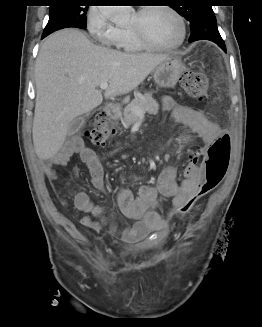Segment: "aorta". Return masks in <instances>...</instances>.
Listing matches in <instances>:
<instances>
[{
    "mask_svg": "<svg viewBox=\"0 0 262 327\" xmlns=\"http://www.w3.org/2000/svg\"><path fill=\"white\" fill-rule=\"evenodd\" d=\"M120 16H125V14L124 13H122ZM117 17V16H116Z\"/></svg>",
    "mask_w": 262,
    "mask_h": 327,
    "instance_id": "aorta-1",
    "label": "aorta"
}]
</instances>
